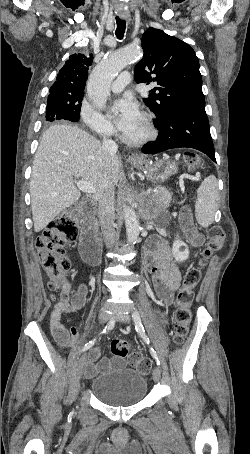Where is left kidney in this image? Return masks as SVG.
<instances>
[{"instance_id": "1", "label": "left kidney", "mask_w": 250, "mask_h": 454, "mask_svg": "<svg viewBox=\"0 0 250 454\" xmlns=\"http://www.w3.org/2000/svg\"><path fill=\"white\" fill-rule=\"evenodd\" d=\"M181 247H185V250L181 251ZM172 252L177 261H185L189 258V250L187 245L181 241L178 236L173 243Z\"/></svg>"}]
</instances>
